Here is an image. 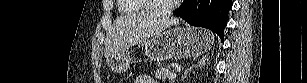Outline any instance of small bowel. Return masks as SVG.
I'll list each match as a JSON object with an SVG mask.
<instances>
[{
    "instance_id": "obj_1",
    "label": "small bowel",
    "mask_w": 307,
    "mask_h": 83,
    "mask_svg": "<svg viewBox=\"0 0 307 83\" xmlns=\"http://www.w3.org/2000/svg\"><path fill=\"white\" fill-rule=\"evenodd\" d=\"M137 83H156L155 80L147 75H140L137 79Z\"/></svg>"
}]
</instances>
